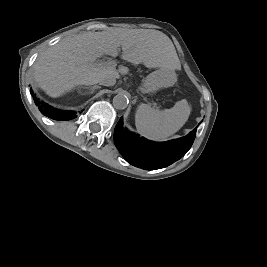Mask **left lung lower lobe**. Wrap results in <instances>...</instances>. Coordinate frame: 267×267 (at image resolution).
Wrapping results in <instances>:
<instances>
[{
  "mask_svg": "<svg viewBox=\"0 0 267 267\" xmlns=\"http://www.w3.org/2000/svg\"><path fill=\"white\" fill-rule=\"evenodd\" d=\"M195 135L196 128L189 135L176 140L151 142L125 130L121 118L114 130V142L127 162L142 169L156 170L184 156L193 144Z\"/></svg>",
  "mask_w": 267,
  "mask_h": 267,
  "instance_id": "1",
  "label": "left lung lower lobe"
}]
</instances>
